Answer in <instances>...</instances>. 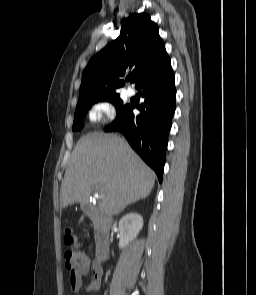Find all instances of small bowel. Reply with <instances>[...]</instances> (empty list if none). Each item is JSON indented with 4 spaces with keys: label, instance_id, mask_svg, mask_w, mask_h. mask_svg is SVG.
Wrapping results in <instances>:
<instances>
[{
    "label": "small bowel",
    "instance_id": "obj_1",
    "mask_svg": "<svg viewBox=\"0 0 256 295\" xmlns=\"http://www.w3.org/2000/svg\"><path fill=\"white\" fill-rule=\"evenodd\" d=\"M90 274V281L86 286L88 292L98 291L101 287L103 276L102 265L98 261H87L78 269L70 272L69 283L73 293L77 294L82 288L83 276Z\"/></svg>",
    "mask_w": 256,
    "mask_h": 295
}]
</instances>
